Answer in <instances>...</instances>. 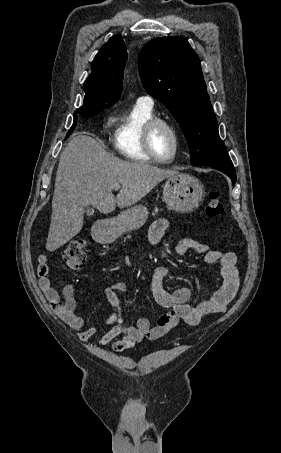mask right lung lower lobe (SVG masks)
I'll list each match as a JSON object with an SVG mask.
<instances>
[{
    "mask_svg": "<svg viewBox=\"0 0 281 453\" xmlns=\"http://www.w3.org/2000/svg\"><path fill=\"white\" fill-rule=\"evenodd\" d=\"M98 113H99V112L94 111V110L75 111V113H74V123H73L71 129L68 131V134H67L66 137H68V136L72 133V131L74 130L75 125H76V123H77V116H78V115H83V116H93V115L98 114Z\"/></svg>",
    "mask_w": 281,
    "mask_h": 453,
    "instance_id": "right-lung-lower-lobe-1",
    "label": "right lung lower lobe"
}]
</instances>
